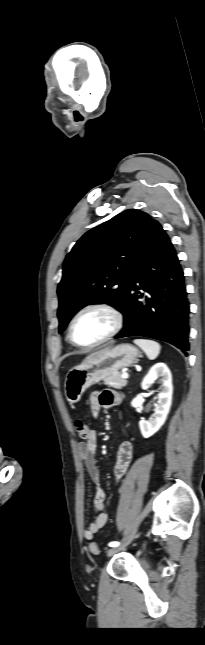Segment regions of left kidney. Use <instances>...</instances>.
<instances>
[{"mask_svg":"<svg viewBox=\"0 0 205 645\" xmlns=\"http://www.w3.org/2000/svg\"><path fill=\"white\" fill-rule=\"evenodd\" d=\"M161 378L162 390L158 394V405L149 420L139 422L140 431L144 438L155 434L165 423L172 403V375L166 364L159 362L152 366L142 381V389L147 390L152 383Z\"/></svg>","mask_w":205,"mask_h":645,"instance_id":"1","label":"left kidney"}]
</instances>
